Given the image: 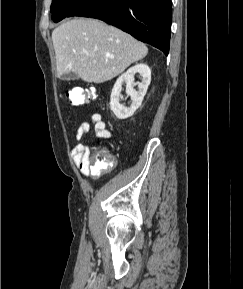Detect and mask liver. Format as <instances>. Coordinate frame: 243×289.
Instances as JSON below:
<instances>
[{
    "instance_id": "liver-1",
    "label": "liver",
    "mask_w": 243,
    "mask_h": 289,
    "mask_svg": "<svg viewBox=\"0 0 243 289\" xmlns=\"http://www.w3.org/2000/svg\"><path fill=\"white\" fill-rule=\"evenodd\" d=\"M57 74L74 72L88 83H103L121 74L148 53L146 45L97 19L69 20L52 32Z\"/></svg>"
}]
</instances>
